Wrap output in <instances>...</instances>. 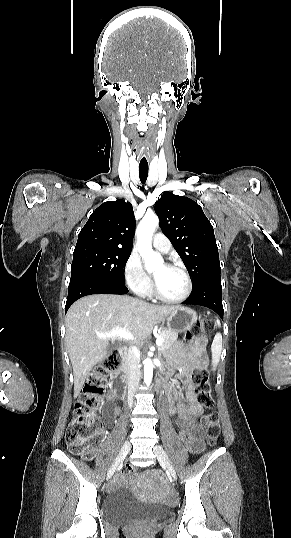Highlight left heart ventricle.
Segmentation results:
<instances>
[{"mask_svg": "<svg viewBox=\"0 0 291 538\" xmlns=\"http://www.w3.org/2000/svg\"><path fill=\"white\" fill-rule=\"evenodd\" d=\"M154 280L160 292L169 298L181 296L186 289V280L183 274L161 263L152 271Z\"/></svg>", "mask_w": 291, "mask_h": 538, "instance_id": "b2bd125f", "label": "left heart ventricle"}]
</instances>
